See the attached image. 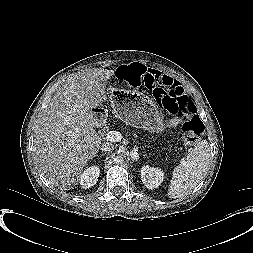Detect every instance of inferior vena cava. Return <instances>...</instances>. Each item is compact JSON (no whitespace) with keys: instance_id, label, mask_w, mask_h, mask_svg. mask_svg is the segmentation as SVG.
<instances>
[{"instance_id":"602c4592","label":"inferior vena cava","mask_w":253,"mask_h":253,"mask_svg":"<svg viewBox=\"0 0 253 253\" xmlns=\"http://www.w3.org/2000/svg\"><path fill=\"white\" fill-rule=\"evenodd\" d=\"M102 150L105 152H111L113 150V146L109 143H105L102 147Z\"/></svg>"}]
</instances>
